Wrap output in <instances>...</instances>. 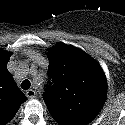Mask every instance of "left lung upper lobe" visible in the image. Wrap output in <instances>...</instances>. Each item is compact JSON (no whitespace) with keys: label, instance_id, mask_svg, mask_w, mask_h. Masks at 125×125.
Instances as JSON below:
<instances>
[{"label":"left lung upper lobe","instance_id":"left-lung-upper-lobe-1","mask_svg":"<svg viewBox=\"0 0 125 125\" xmlns=\"http://www.w3.org/2000/svg\"><path fill=\"white\" fill-rule=\"evenodd\" d=\"M52 82L43 95L59 125H87L101 110L107 82L100 65L84 51L64 43L48 49Z\"/></svg>","mask_w":125,"mask_h":125}]
</instances>
